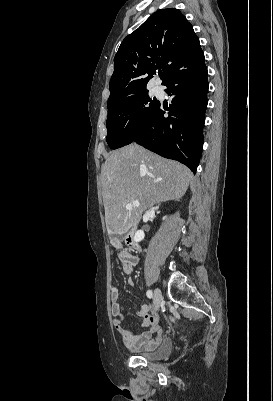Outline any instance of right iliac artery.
Wrapping results in <instances>:
<instances>
[{"label": "right iliac artery", "instance_id": "right-iliac-artery-1", "mask_svg": "<svg viewBox=\"0 0 273 401\" xmlns=\"http://www.w3.org/2000/svg\"><path fill=\"white\" fill-rule=\"evenodd\" d=\"M146 295H147L148 298H152L153 297V294H152L151 290H148Z\"/></svg>", "mask_w": 273, "mask_h": 401}]
</instances>
